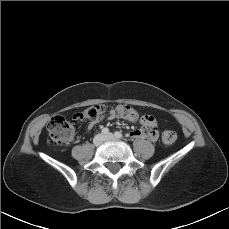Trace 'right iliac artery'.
Here are the masks:
<instances>
[{
  "label": "right iliac artery",
  "instance_id": "right-iliac-artery-1",
  "mask_svg": "<svg viewBox=\"0 0 229 229\" xmlns=\"http://www.w3.org/2000/svg\"><path fill=\"white\" fill-rule=\"evenodd\" d=\"M102 133L105 134V135L109 134V129L108 128H103L102 129Z\"/></svg>",
  "mask_w": 229,
  "mask_h": 229
}]
</instances>
